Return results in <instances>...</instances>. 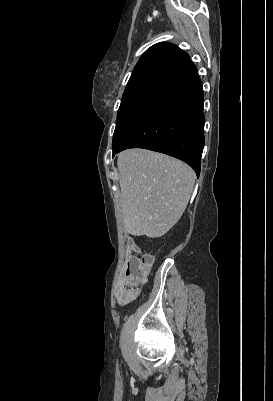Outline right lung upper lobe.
<instances>
[{"instance_id": "right-lung-upper-lobe-1", "label": "right lung upper lobe", "mask_w": 273, "mask_h": 401, "mask_svg": "<svg viewBox=\"0 0 273 401\" xmlns=\"http://www.w3.org/2000/svg\"><path fill=\"white\" fill-rule=\"evenodd\" d=\"M198 77L197 69L187 53L174 44L160 42L141 56L123 97L141 93L168 96Z\"/></svg>"}]
</instances>
